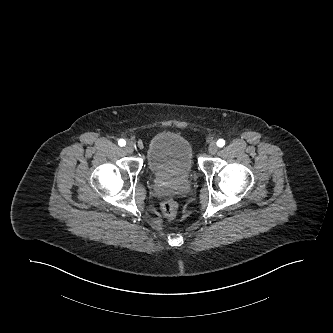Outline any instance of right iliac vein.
Wrapping results in <instances>:
<instances>
[{
	"mask_svg": "<svg viewBox=\"0 0 333 333\" xmlns=\"http://www.w3.org/2000/svg\"><path fill=\"white\" fill-rule=\"evenodd\" d=\"M124 149L127 153L132 154L134 152L135 145L131 142H128Z\"/></svg>",
	"mask_w": 333,
	"mask_h": 333,
	"instance_id": "1",
	"label": "right iliac vein"
}]
</instances>
